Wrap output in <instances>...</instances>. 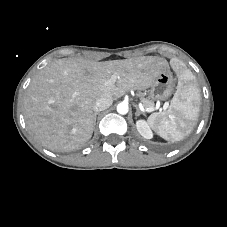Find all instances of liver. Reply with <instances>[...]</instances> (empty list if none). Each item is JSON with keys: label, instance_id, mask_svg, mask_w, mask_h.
Here are the masks:
<instances>
[{"label": "liver", "instance_id": "6515ba94", "mask_svg": "<svg viewBox=\"0 0 227 227\" xmlns=\"http://www.w3.org/2000/svg\"><path fill=\"white\" fill-rule=\"evenodd\" d=\"M166 69L160 57L96 62L55 60L31 81L23 97L26 126L43 146L59 152L79 149L92 137L93 106L104 95L119 98L129 90L149 88ZM115 77V83H105Z\"/></svg>", "mask_w": 227, "mask_h": 227}]
</instances>
